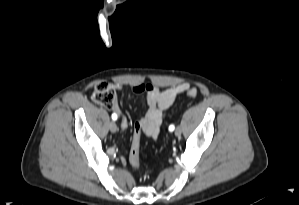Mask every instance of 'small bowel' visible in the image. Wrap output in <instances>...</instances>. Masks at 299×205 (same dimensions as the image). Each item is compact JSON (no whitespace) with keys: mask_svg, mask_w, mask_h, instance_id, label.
I'll list each match as a JSON object with an SVG mask.
<instances>
[{"mask_svg":"<svg viewBox=\"0 0 299 205\" xmlns=\"http://www.w3.org/2000/svg\"><path fill=\"white\" fill-rule=\"evenodd\" d=\"M120 88L121 85H117ZM189 88V84L181 83L161 90L157 86L144 83L134 85L132 90L135 93H145L147 97L148 109L141 119L140 133L143 132L147 137L155 139L159 132L163 120L176 98ZM120 127L124 131L128 127V120L124 115H120ZM134 138V136H133ZM122 163H126L124 157Z\"/></svg>","mask_w":299,"mask_h":205,"instance_id":"1","label":"small bowel"}]
</instances>
